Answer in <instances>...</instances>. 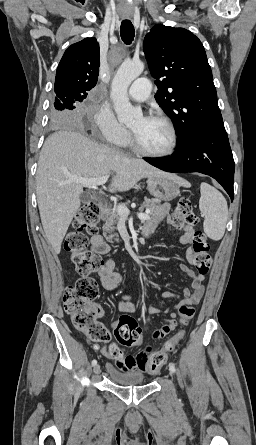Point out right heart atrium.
I'll list each match as a JSON object with an SVG mask.
<instances>
[{
  "label": "right heart atrium",
  "mask_w": 256,
  "mask_h": 445,
  "mask_svg": "<svg viewBox=\"0 0 256 445\" xmlns=\"http://www.w3.org/2000/svg\"><path fill=\"white\" fill-rule=\"evenodd\" d=\"M95 129L109 144L122 145L129 139V132L117 120L113 111L104 103L96 108L93 114Z\"/></svg>",
  "instance_id": "1"
}]
</instances>
